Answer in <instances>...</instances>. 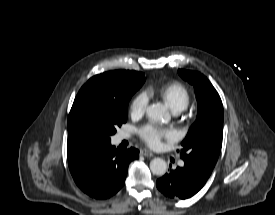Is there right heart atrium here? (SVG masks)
I'll use <instances>...</instances> for the list:
<instances>
[{"label":"right heart atrium","instance_id":"d8ad5b80","mask_svg":"<svg viewBox=\"0 0 275 215\" xmlns=\"http://www.w3.org/2000/svg\"><path fill=\"white\" fill-rule=\"evenodd\" d=\"M148 95L145 92H139L134 96L130 103V113L133 117L142 116L148 106Z\"/></svg>","mask_w":275,"mask_h":215}]
</instances>
